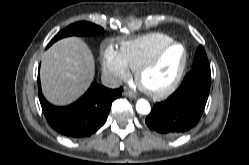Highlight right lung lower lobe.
<instances>
[{
	"instance_id": "1",
	"label": "right lung lower lobe",
	"mask_w": 249,
	"mask_h": 165,
	"mask_svg": "<svg viewBox=\"0 0 249 165\" xmlns=\"http://www.w3.org/2000/svg\"><path fill=\"white\" fill-rule=\"evenodd\" d=\"M39 100L49 125L58 133L71 137H89L106 121L112 102L119 98L123 88L108 89L92 83L88 91L69 106L50 104L41 92L38 74Z\"/></svg>"
}]
</instances>
